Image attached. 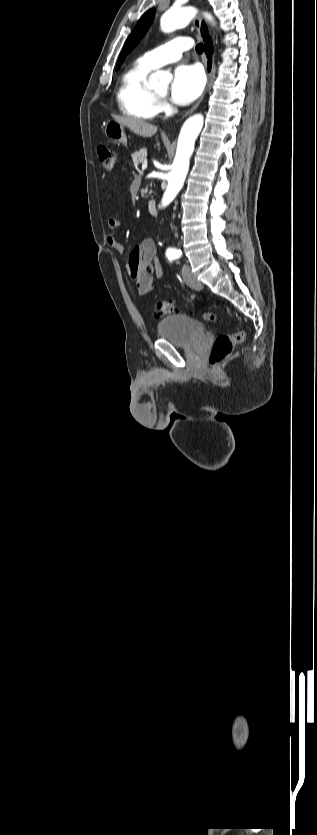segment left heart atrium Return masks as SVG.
<instances>
[{
	"label": "left heart atrium",
	"instance_id": "39dd6f15",
	"mask_svg": "<svg viewBox=\"0 0 317 835\" xmlns=\"http://www.w3.org/2000/svg\"><path fill=\"white\" fill-rule=\"evenodd\" d=\"M204 82V74L199 66H178L171 83V100L178 105L191 103L201 94Z\"/></svg>",
	"mask_w": 317,
	"mask_h": 835
}]
</instances>
